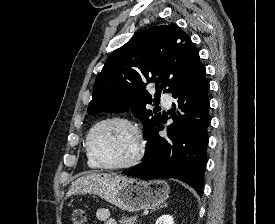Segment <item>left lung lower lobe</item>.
<instances>
[{"label": "left lung lower lobe", "instance_id": "0a47b994", "mask_svg": "<svg viewBox=\"0 0 275 224\" xmlns=\"http://www.w3.org/2000/svg\"><path fill=\"white\" fill-rule=\"evenodd\" d=\"M205 68L193 74L172 92L181 113L175 115L168 137L159 136L162 121L145 136L146 150L142 163L123 172L145 180L175 178L191 185L202 195L207 161V128L211 122Z\"/></svg>", "mask_w": 275, "mask_h": 224}]
</instances>
